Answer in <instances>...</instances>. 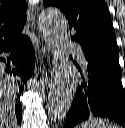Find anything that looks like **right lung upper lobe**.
<instances>
[{"instance_id":"obj_1","label":"right lung upper lobe","mask_w":125,"mask_h":128,"mask_svg":"<svg viewBox=\"0 0 125 128\" xmlns=\"http://www.w3.org/2000/svg\"><path fill=\"white\" fill-rule=\"evenodd\" d=\"M26 11L25 0H0V46L23 35Z\"/></svg>"}]
</instances>
